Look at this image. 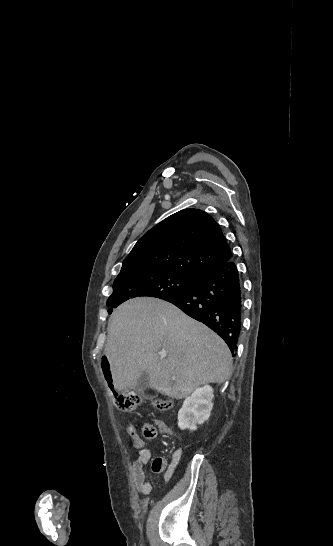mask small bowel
Segmentation results:
<instances>
[{
    "label": "small bowel",
    "instance_id": "c3829d8e",
    "mask_svg": "<svg viewBox=\"0 0 333 546\" xmlns=\"http://www.w3.org/2000/svg\"><path fill=\"white\" fill-rule=\"evenodd\" d=\"M156 424L161 434L168 436L172 435V431L165 423L161 421H156ZM130 436L132 438L133 446L138 452V456L132 464L134 483L140 493L147 495L151 491V485L146 480L145 467L151 461V453L149 449L145 446V442L139 437L136 431H134L133 434H130ZM181 457V449H177L173 453L170 463H168L163 457H156L152 461V470L153 472L157 473L165 471L167 476H171L177 465L179 464Z\"/></svg>",
    "mask_w": 333,
    "mask_h": 546
}]
</instances>
